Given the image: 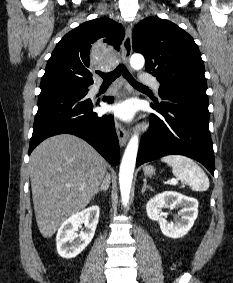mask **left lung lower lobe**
<instances>
[{"label": "left lung lower lobe", "mask_w": 233, "mask_h": 283, "mask_svg": "<svg viewBox=\"0 0 233 283\" xmlns=\"http://www.w3.org/2000/svg\"><path fill=\"white\" fill-rule=\"evenodd\" d=\"M151 103L150 130L140 142L136 165L166 155H184L202 163L214 175L206 91L181 88Z\"/></svg>", "instance_id": "0a47b994"}]
</instances>
